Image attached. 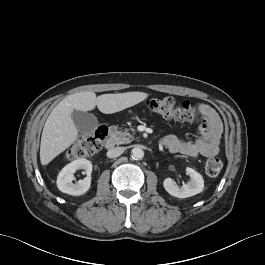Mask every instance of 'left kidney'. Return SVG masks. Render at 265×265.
Wrapping results in <instances>:
<instances>
[{"label": "left kidney", "instance_id": "obj_1", "mask_svg": "<svg viewBox=\"0 0 265 265\" xmlns=\"http://www.w3.org/2000/svg\"><path fill=\"white\" fill-rule=\"evenodd\" d=\"M186 172L190 176V181L183 184L182 187L176 185L171 178L164 180L163 186L170 195L177 198H187L203 191L204 180L202 175L190 167L186 168Z\"/></svg>", "mask_w": 265, "mask_h": 265}]
</instances>
